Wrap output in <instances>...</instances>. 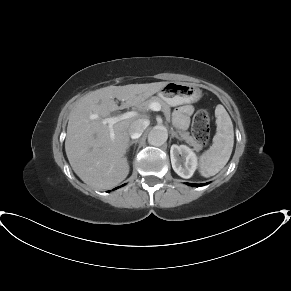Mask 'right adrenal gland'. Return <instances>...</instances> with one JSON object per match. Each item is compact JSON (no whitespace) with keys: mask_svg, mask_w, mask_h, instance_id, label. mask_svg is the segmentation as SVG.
I'll list each match as a JSON object with an SVG mask.
<instances>
[{"mask_svg":"<svg viewBox=\"0 0 291 291\" xmlns=\"http://www.w3.org/2000/svg\"><path fill=\"white\" fill-rule=\"evenodd\" d=\"M137 142H138V140H132V141H130V143H129V147H130V146H132L133 144H135V145H136V144H137Z\"/></svg>","mask_w":291,"mask_h":291,"instance_id":"right-adrenal-gland-1","label":"right adrenal gland"}]
</instances>
